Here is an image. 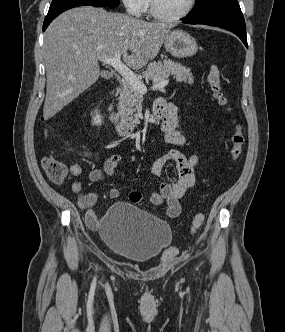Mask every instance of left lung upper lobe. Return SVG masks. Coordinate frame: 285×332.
Segmentation results:
<instances>
[{"instance_id": "left-lung-upper-lobe-1", "label": "left lung upper lobe", "mask_w": 285, "mask_h": 332, "mask_svg": "<svg viewBox=\"0 0 285 332\" xmlns=\"http://www.w3.org/2000/svg\"><path fill=\"white\" fill-rule=\"evenodd\" d=\"M234 12H241L237 0H196L189 17H210Z\"/></svg>"}]
</instances>
